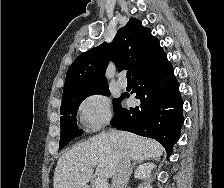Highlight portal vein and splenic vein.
<instances>
[{
  "label": "portal vein and splenic vein",
  "instance_id": "portal-vein-and-splenic-vein-1",
  "mask_svg": "<svg viewBox=\"0 0 224 188\" xmlns=\"http://www.w3.org/2000/svg\"><path fill=\"white\" fill-rule=\"evenodd\" d=\"M95 188H109L107 179L101 177L97 178L95 181Z\"/></svg>",
  "mask_w": 224,
  "mask_h": 188
}]
</instances>
